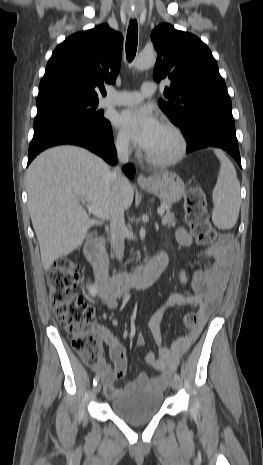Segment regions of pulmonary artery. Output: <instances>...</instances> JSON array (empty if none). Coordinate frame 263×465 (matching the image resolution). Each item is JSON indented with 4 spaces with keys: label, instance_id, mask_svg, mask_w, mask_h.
<instances>
[{
    "label": "pulmonary artery",
    "instance_id": "obj_1",
    "mask_svg": "<svg viewBox=\"0 0 263 465\" xmlns=\"http://www.w3.org/2000/svg\"><path fill=\"white\" fill-rule=\"evenodd\" d=\"M156 91V85L153 82H144L140 91H123L117 92L110 90L105 97L102 106H128L136 105L143 101L144 98L153 95Z\"/></svg>",
    "mask_w": 263,
    "mask_h": 465
}]
</instances>
